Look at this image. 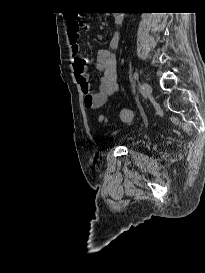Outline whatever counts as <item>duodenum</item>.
<instances>
[{"instance_id":"410a0bca","label":"duodenum","mask_w":205,"mask_h":273,"mask_svg":"<svg viewBox=\"0 0 205 273\" xmlns=\"http://www.w3.org/2000/svg\"><path fill=\"white\" fill-rule=\"evenodd\" d=\"M114 21H115L116 24H119L120 21H121L120 16H119V15H116L115 18H114Z\"/></svg>"}]
</instances>
